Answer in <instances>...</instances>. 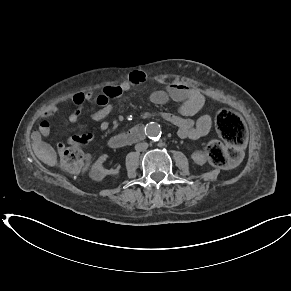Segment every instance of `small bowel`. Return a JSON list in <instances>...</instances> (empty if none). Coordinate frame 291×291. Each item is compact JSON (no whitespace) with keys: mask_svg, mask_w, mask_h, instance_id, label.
Segmentation results:
<instances>
[{"mask_svg":"<svg viewBox=\"0 0 291 291\" xmlns=\"http://www.w3.org/2000/svg\"><path fill=\"white\" fill-rule=\"evenodd\" d=\"M148 81V76L142 71H134L129 77L117 84L107 85L103 92L94 96L90 92H78L71 98L73 104L77 108L69 115L68 119L74 123L78 121L82 114V105L90 100H94L99 108L92 113L91 117L94 121L100 122V132L107 133L109 131V123L107 117L112 112V105L110 100L118 99L124 93L131 90L133 87L145 84ZM149 99L156 105H164L170 100L181 102L179 114L162 113L161 117L177 127L178 135L181 138L199 139L208 134L211 128V117L207 114L200 116L197 121H193L190 117L201 110L205 105L203 94L195 88L188 87L183 84H171L165 90H155L150 93ZM63 104H55L50 106L42 115L38 123V128L32 134L34 148L43 153L48 160L54 157L53 152L48 145L43 141V138L49 137L51 133L50 118L54 116ZM126 132H120L124 134ZM95 134L86 133L81 135H74L68 139L71 141H81L87 144L95 139ZM58 154H62L65 150V144L58 142L56 145Z\"/></svg>","mask_w":291,"mask_h":291,"instance_id":"small-bowel-1","label":"small bowel"}]
</instances>
